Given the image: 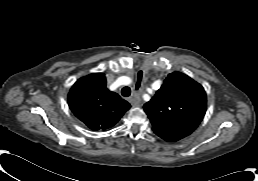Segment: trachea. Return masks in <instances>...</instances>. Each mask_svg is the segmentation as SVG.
<instances>
[{
  "instance_id": "trachea-1",
  "label": "trachea",
  "mask_w": 258,
  "mask_h": 181,
  "mask_svg": "<svg viewBox=\"0 0 258 181\" xmlns=\"http://www.w3.org/2000/svg\"><path fill=\"white\" fill-rule=\"evenodd\" d=\"M137 87H138V85H137ZM121 93L124 97H128L131 94V89L127 86L123 87L122 90H121Z\"/></svg>"
}]
</instances>
